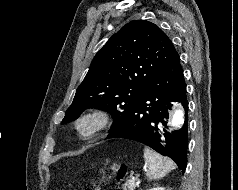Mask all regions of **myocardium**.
Instances as JSON below:
<instances>
[{
    "instance_id": "1",
    "label": "myocardium",
    "mask_w": 238,
    "mask_h": 190,
    "mask_svg": "<svg viewBox=\"0 0 238 190\" xmlns=\"http://www.w3.org/2000/svg\"><path fill=\"white\" fill-rule=\"evenodd\" d=\"M111 122L109 113L101 108H93L80 114L74 122L75 129L82 138H91L105 130Z\"/></svg>"
}]
</instances>
